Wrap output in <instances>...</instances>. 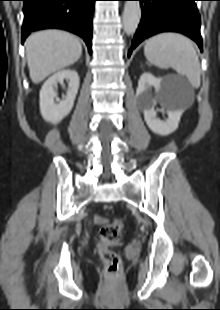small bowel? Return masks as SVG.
I'll return each mask as SVG.
<instances>
[{
	"mask_svg": "<svg viewBox=\"0 0 220 310\" xmlns=\"http://www.w3.org/2000/svg\"><path fill=\"white\" fill-rule=\"evenodd\" d=\"M95 222H96L97 224H101V223L104 222V219L101 218V217H96V218H95Z\"/></svg>",
	"mask_w": 220,
	"mask_h": 310,
	"instance_id": "c3829d8e",
	"label": "small bowel"
}]
</instances>
